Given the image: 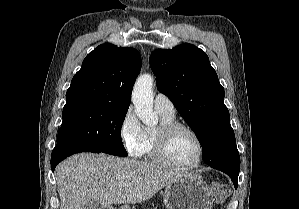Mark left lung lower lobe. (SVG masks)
<instances>
[{
  "mask_svg": "<svg viewBox=\"0 0 299 209\" xmlns=\"http://www.w3.org/2000/svg\"><path fill=\"white\" fill-rule=\"evenodd\" d=\"M208 165L229 175L235 188H237V180L240 170V157L235 140L228 142L212 158Z\"/></svg>",
  "mask_w": 299,
  "mask_h": 209,
  "instance_id": "left-lung-lower-lobe-1",
  "label": "left lung lower lobe"
}]
</instances>
